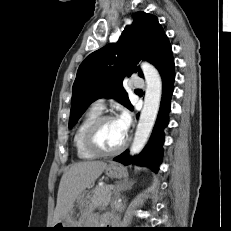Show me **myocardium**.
<instances>
[{
    "label": "myocardium",
    "instance_id": "1",
    "mask_svg": "<svg viewBox=\"0 0 231 231\" xmlns=\"http://www.w3.org/2000/svg\"><path fill=\"white\" fill-rule=\"evenodd\" d=\"M110 120H115V118L111 115H100L98 118H96L93 121V123L88 127V129L85 133L84 141H85V145H86L87 149L97 156H114V155H117V154L121 153L129 144L130 138L128 136H126L123 143L119 147H117L113 150H105V149L100 147V145L98 144V141H97L98 132H99L100 128L102 127V125L105 122L110 121Z\"/></svg>",
    "mask_w": 231,
    "mask_h": 231
}]
</instances>
